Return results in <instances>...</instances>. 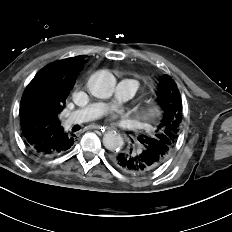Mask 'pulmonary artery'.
Listing matches in <instances>:
<instances>
[{
	"label": "pulmonary artery",
	"mask_w": 232,
	"mask_h": 232,
	"mask_svg": "<svg viewBox=\"0 0 232 232\" xmlns=\"http://www.w3.org/2000/svg\"><path fill=\"white\" fill-rule=\"evenodd\" d=\"M139 88L137 81L132 79L121 80L116 88L114 102H122L132 98ZM110 106V103L96 102L88 106L72 112L63 122L65 127H70L74 124H80L89 120L95 119L104 114Z\"/></svg>",
	"instance_id": "e3ab8cb5"
}]
</instances>
